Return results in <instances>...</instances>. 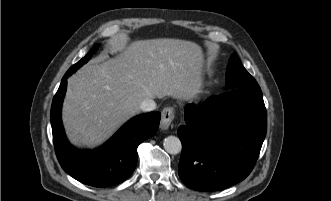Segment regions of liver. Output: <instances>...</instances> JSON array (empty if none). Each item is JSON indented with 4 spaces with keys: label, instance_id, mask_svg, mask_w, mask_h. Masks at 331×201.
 I'll return each instance as SVG.
<instances>
[{
    "label": "liver",
    "instance_id": "6515ba94",
    "mask_svg": "<svg viewBox=\"0 0 331 201\" xmlns=\"http://www.w3.org/2000/svg\"><path fill=\"white\" fill-rule=\"evenodd\" d=\"M117 49L115 58L88 63L68 79L62 119L74 145L102 143L147 98L197 92L203 55L196 43L160 38L120 43Z\"/></svg>",
    "mask_w": 331,
    "mask_h": 201
}]
</instances>
